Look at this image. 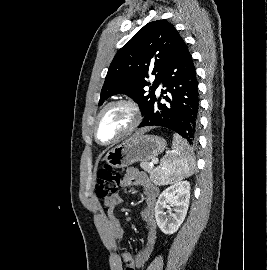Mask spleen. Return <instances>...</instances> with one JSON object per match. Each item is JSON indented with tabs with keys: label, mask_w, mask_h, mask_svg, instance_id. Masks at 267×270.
Listing matches in <instances>:
<instances>
[{
	"label": "spleen",
	"mask_w": 267,
	"mask_h": 270,
	"mask_svg": "<svg viewBox=\"0 0 267 270\" xmlns=\"http://www.w3.org/2000/svg\"><path fill=\"white\" fill-rule=\"evenodd\" d=\"M194 159L187 142L178 134H174L172 151L161 160L158 175L159 183L171 184L193 174Z\"/></svg>",
	"instance_id": "spleen-1"
}]
</instances>
